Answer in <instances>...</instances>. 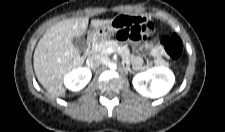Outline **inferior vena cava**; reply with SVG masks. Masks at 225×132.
Wrapping results in <instances>:
<instances>
[{"label":"inferior vena cava","instance_id":"inferior-vena-cava-1","mask_svg":"<svg viewBox=\"0 0 225 132\" xmlns=\"http://www.w3.org/2000/svg\"><path fill=\"white\" fill-rule=\"evenodd\" d=\"M105 59L100 55H95L87 58V65L88 67L95 69L99 67Z\"/></svg>","mask_w":225,"mask_h":132}]
</instances>
